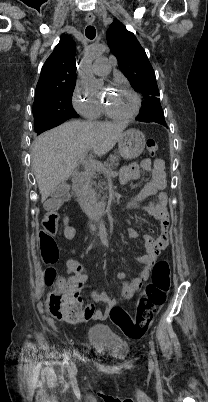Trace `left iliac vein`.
<instances>
[{"mask_svg": "<svg viewBox=\"0 0 208 402\" xmlns=\"http://www.w3.org/2000/svg\"><path fill=\"white\" fill-rule=\"evenodd\" d=\"M148 361H149V364H153V359H152V356L150 354L148 356Z\"/></svg>", "mask_w": 208, "mask_h": 402, "instance_id": "4c4485c4", "label": "left iliac vein"}]
</instances>
